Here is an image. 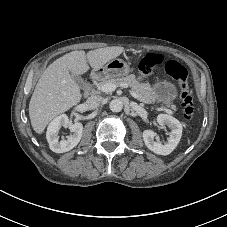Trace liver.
I'll use <instances>...</instances> for the list:
<instances>
[{
	"mask_svg": "<svg viewBox=\"0 0 227 227\" xmlns=\"http://www.w3.org/2000/svg\"><path fill=\"white\" fill-rule=\"evenodd\" d=\"M123 51L121 46L98 48L87 54L75 50L52 62L41 74L29 102L33 130L42 134L53 119L80 102L82 93L73 75L85 74L89 65L93 70H99Z\"/></svg>",
	"mask_w": 227,
	"mask_h": 227,
	"instance_id": "6515ba94",
	"label": "liver"
}]
</instances>
